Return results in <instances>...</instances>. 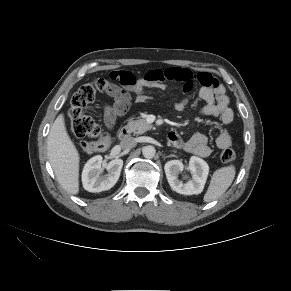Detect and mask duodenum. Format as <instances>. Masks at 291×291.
<instances>
[{
    "label": "duodenum",
    "mask_w": 291,
    "mask_h": 291,
    "mask_svg": "<svg viewBox=\"0 0 291 291\" xmlns=\"http://www.w3.org/2000/svg\"><path fill=\"white\" fill-rule=\"evenodd\" d=\"M130 136V130L128 127H123L120 129L118 133V137L120 140H126Z\"/></svg>",
    "instance_id": "obj_1"
}]
</instances>
